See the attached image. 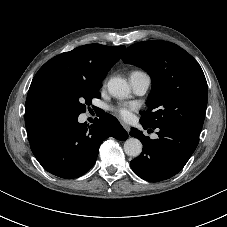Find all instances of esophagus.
Returning <instances> with one entry per match:
<instances>
[{
    "instance_id": "esophagus-1",
    "label": "esophagus",
    "mask_w": 227,
    "mask_h": 227,
    "mask_svg": "<svg viewBox=\"0 0 227 227\" xmlns=\"http://www.w3.org/2000/svg\"><path fill=\"white\" fill-rule=\"evenodd\" d=\"M121 124H122L123 128L127 131V133L129 134V132H130V126L127 125V124H125V123H121Z\"/></svg>"
}]
</instances>
